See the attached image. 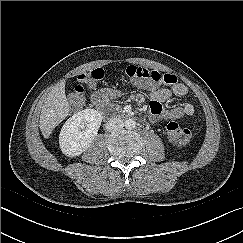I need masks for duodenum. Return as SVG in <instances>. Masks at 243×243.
<instances>
[{"instance_id": "obj_1", "label": "duodenum", "mask_w": 243, "mask_h": 243, "mask_svg": "<svg viewBox=\"0 0 243 243\" xmlns=\"http://www.w3.org/2000/svg\"><path fill=\"white\" fill-rule=\"evenodd\" d=\"M106 101H104V100H98L97 101V104H104Z\"/></svg>"}]
</instances>
